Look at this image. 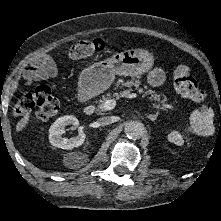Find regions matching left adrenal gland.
Segmentation results:
<instances>
[{
  "mask_svg": "<svg viewBox=\"0 0 221 221\" xmlns=\"http://www.w3.org/2000/svg\"><path fill=\"white\" fill-rule=\"evenodd\" d=\"M158 112L156 114H147V117L151 120V121H155L158 117Z\"/></svg>",
  "mask_w": 221,
  "mask_h": 221,
  "instance_id": "1",
  "label": "left adrenal gland"
}]
</instances>
